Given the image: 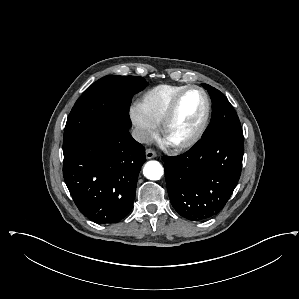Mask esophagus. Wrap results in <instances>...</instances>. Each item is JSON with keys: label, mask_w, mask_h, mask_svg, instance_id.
Returning a JSON list of instances; mask_svg holds the SVG:
<instances>
[{"label": "esophagus", "mask_w": 299, "mask_h": 299, "mask_svg": "<svg viewBox=\"0 0 299 299\" xmlns=\"http://www.w3.org/2000/svg\"><path fill=\"white\" fill-rule=\"evenodd\" d=\"M145 156L147 159H152L156 157V152L153 151L152 149H146Z\"/></svg>", "instance_id": "34e87169"}]
</instances>
